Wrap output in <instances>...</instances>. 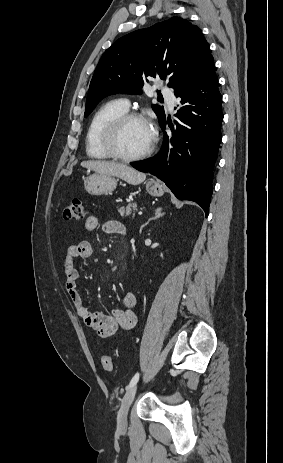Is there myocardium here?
Listing matches in <instances>:
<instances>
[{
  "instance_id": "myocardium-1",
  "label": "myocardium",
  "mask_w": 283,
  "mask_h": 463,
  "mask_svg": "<svg viewBox=\"0 0 283 463\" xmlns=\"http://www.w3.org/2000/svg\"><path fill=\"white\" fill-rule=\"evenodd\" d=\"M132 120L145 122L151 130L152 138L149 146L143 152L136 155L127 156L118 151L116 147V139L122 127ZM156 143L157 132L152 122L144 114L136 111H127L114 118L106 126L102 134V146L106 153L109 155V157L122 162H135L147 158L153 153Z\"/></svg>"
}]
</instances>
